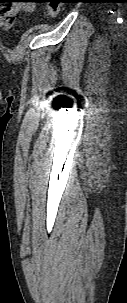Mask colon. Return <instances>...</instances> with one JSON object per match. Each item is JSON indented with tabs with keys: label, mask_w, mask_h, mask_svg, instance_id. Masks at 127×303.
<instances>
[{
	"label": "colon",
	"mask_w": 127,
	"mask_h": 303,
	"mask_svg": "<svg viewBox=\"0 0 127 303\" xmlns=\"http://www.w3.org/2000/svg\"><path fill=\"white\" fill-rule=\"evenodd\" d=\"M48 12L51 17H56L61 10L60 4L57 0H48Z\"/></svg>",
	"instance_id": "obj_1"
}]
</instances>
